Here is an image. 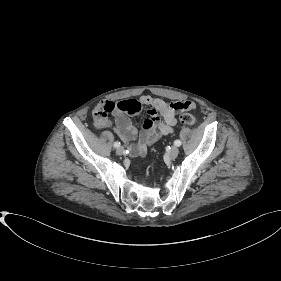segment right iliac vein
Masks as SVG:
<instances>
[{
    "mask_svg": "<svg viewBox=\"0 0 281 281\" xmlns=\"http://www.w3.org/2000/svg\"><path fill=\"white\" fill-rule=\"evenodd\" d=\"M116 153L118 154V155H123L124 154V148L123 147H118L117 148V150H116Z\"/></svg>",
    "mask_w": 281,
    "mask_h": 281,
    "instance_id": "63e3f726",
    "label": "right iliac vein"
}]
</instances>
